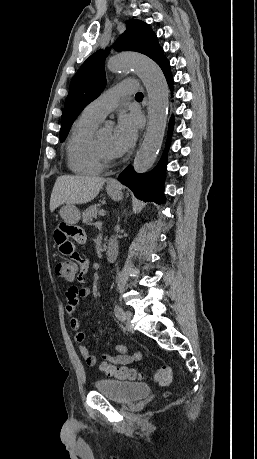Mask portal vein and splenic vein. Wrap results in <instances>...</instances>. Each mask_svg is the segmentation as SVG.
I'll return each mask as SVG.
<instances>
[{"label":"portal vein and splenic vein","mask_w":257,"mask_h":459,"mask_svg":"<svg viewBox=\"0 0 257 459\" xmlns=\"http://www.w3.org/2000/svg\"><path fill=\"white\" fill-rule=\"evenodd\" d=\"M100 215L105 216V215H106V212H105V211H101V212H100Z\"/></svg>","instance_id":"18ae733b"}]
</instances>
